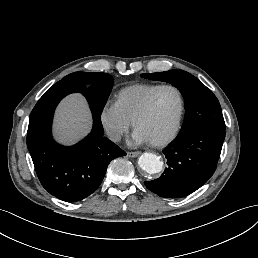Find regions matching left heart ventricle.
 <instances>
[{
  "label": "left heart ventricle",
  "instance_id": "b2bd125f",
  "mask_svg": "<svg viewBox=\"0 0 258 258\" xmlns=\"http://www.w3.org/2000/svg\"><path fill=\"white\" fill-rule=\"evenodd\" d=\"M178 110L177 93L172 89L160 90L153 98L147 117L140 123V134L155 139L168 137L175 127Z\"/></svg>",
  "mask_w": 258,
  "mask_h": 258
}]
</instances>
